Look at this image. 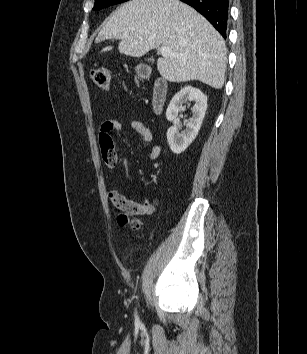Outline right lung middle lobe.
I'll list each match as a JSON object with an SVG mask.
<instances>
[{
  "label": "right lung middle lobe",
  "instance_id": "obj_1",
  "mask_svg": "<svg viewBox=\"0 0 307 354\" xmlns=\"http://www.w3.org/2000/svg\"><path fill=\"white\" fill-rule=\"evenodd\" d=\"M128 0H95L94 8L93 10H100L102 8L112 6L118 3H122Z\"/></svg>",
  "mask_w": 307,
  "mask_h": 354
}]
</instances>
